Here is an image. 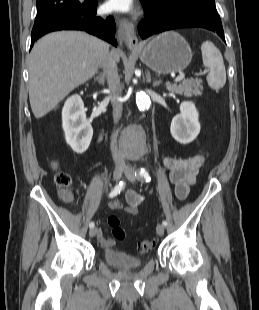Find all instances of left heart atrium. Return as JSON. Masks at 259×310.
Wrapping results in <instances>:
<instances>
[{"label": "left heart atrium", "mask_w": 259, "mask_h": 310, "mask_svg": "<svg viewBox=\"0 0 259 310\" xmlns=\"http://www.w3.org/2000/svg\"><path fill=\"white\" fill-rule=\"evenodd\" d=\"M105 6L113 12H129L133 8V0H108Z\"/></svg>", "instance_id": "left-heart-atrium-1"}]
</instances>
